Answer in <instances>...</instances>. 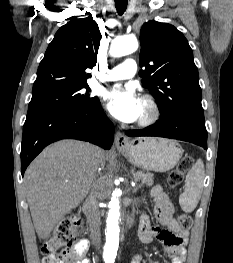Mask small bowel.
I'll use <instances>...</instances> for the list:
<instances>
[{"label": "small bowel", "instance_id": "obj_1", "mask_svg": "<svg viewBox=\"0 0 233 263\" xmlns=\"http://www.w3.org/2000/svg\"><path fill=\"white\" fill-rule=\"evenodd\" d=\"M152 195L155 200V217L163 227L152 226L148 217L143 216L139 225L140 240L145 245L155 240L159 241L169 255L171 263H184L189 232L183 229L175 219L174 206L163 193L160 186L156 185L152 188ZM88 249V241L86 239L80 240L78 246L80 260L76 263H91L90 259L86 257ZM141 259L142 254L138 253L134 256L131 263H140Z\"/></svg>", "mask_w": 233, "mask_h": 263}]
</instances>
